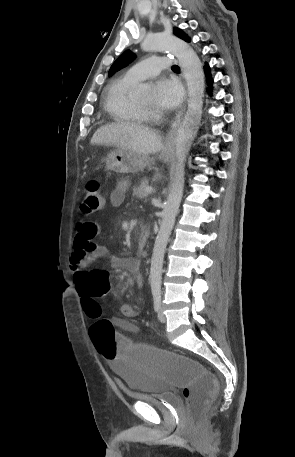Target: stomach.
<instances>
[{
	"mask_svg": "<svg viewBox=\"0 0 295 457\" xmlns=\"http://www.w3.org/2000/svg\"><path fill=\"white\" fill-rule=\"evenodd\" d=\"M159 159L168 162L170 155L161 153ZM150 162L147 156L137 155L125 149H115L110 151L106 158V169L116 173H137L143 170Z\"/></svg>",
	"mask_w": 295,
	"mask_h": 457,
	"instance_id": "obj_1",
	"label": "stomach"
}]
</instances>
